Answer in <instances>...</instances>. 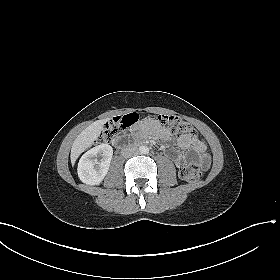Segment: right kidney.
I'll use <instances>...</instances> for the list:
<instances>
[{"label": "right kidney", "instance_id": "right-kidney-1", "mask_svg": "<svg viewBox=\"0 0 280 280\" xmlns=\"http://www.w3.org/2000/svg\"><path fill=\"white\" fill-rule=\"evenodd\" d=\"M101 155V162L97 157ZM113 155V148L108 144H100L88 150L79 160L78 177L87 185H99L106 176Z\"/></svg>", "mask_w": 280, "mask_h": 280}]
</instances>
